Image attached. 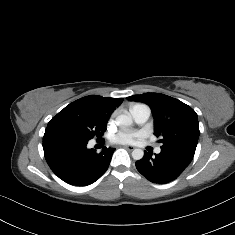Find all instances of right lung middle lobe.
<instances>
[{
    "label": "right lung middle lobe",
    "mask_w": 235,
    "mask_h": 235,
    "mask_svg": "<svg viewBox=\"0 0 235 235\" xmlns=\"http://www.w3.org/2000/svg\"><path fill=\"white\" fill-rule=\"evenodd\" d=\"M109 116L91 109H78L64 113L56 120L63 130L75 133L86 140L102 139Z\"/></svg>",
    "instance_id": "1"
}]
</instances>
